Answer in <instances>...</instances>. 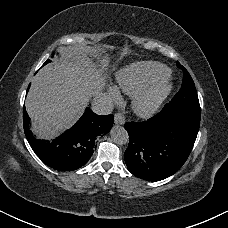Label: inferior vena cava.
I'll list each match as a JSON object with an SVG mask.
<instances>
[{
  "instance_id": "602c4592",
  "label": "inferior vena cava",
  "mask_w": 228,
  "mask_h": 228,
  "mask_svg": "<svg viewBox=\"0 0 228 228\" xmlns=\"http://www.w3.org/2000/svg\"><path fill=\"white\" fill-rule=\"evenodd\" d=\"M91 109L97 115H109L112 113L114 105L110 96L99 94L92 99Z\"/></svg>"
}]
</instances>
